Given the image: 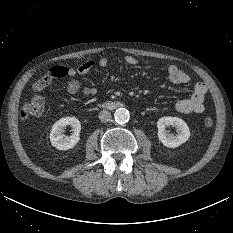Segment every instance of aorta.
I'll list each match as a JSON object with an SVG mask.
<instances>
[{
  "label": "aorta",
  "mask_w": 233,
  "mask_h": 233,
  "mask_svg": "<svg viewBox=\"0 0 233 233\" xmlns=\"http://www.w3.org/2000/svg\"><path fill=\"white\" fill-rule=\"evenodd\" d=\"M115 121L119 124H125L129 121L130 114L125 108H119L114 113Z\"/></svg>",
  "instance_id": "obj_1"
}]
</instances>
